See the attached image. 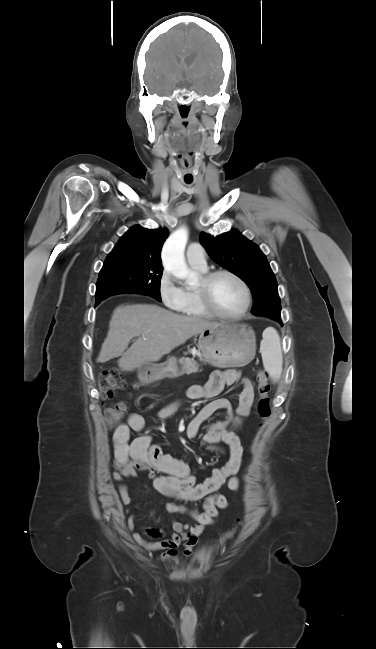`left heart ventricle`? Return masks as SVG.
Returning a JSON list of instances; mask_svg holds the SVG:
<instances>
[{"mask_svg": "<svg viewBox=\"0 0 376 649\" xmlns=\"http://www.w3.org/2000/svg\"><path fill=\"white\" fill-rule=\"evenodd\" d=\"M211 299L214 305L228 314L238 313L245 302V296L239 283L230 276H218L211 286Z\"/></svg>", "mask_w": 376, "mask_h": 649, "instance_id": "1", "label": "left heart ventricle"}]
</instances>
